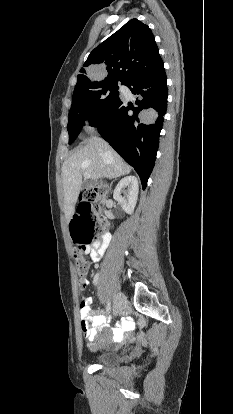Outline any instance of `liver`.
<instances>
[{"mask_svg":"<svg viewBox=\"0 0 233 414\" xmlns=\"http://www.w3.org/2000/svg\"><path fill=\"white\" fill-rule=\"evenodd\" d=\"M62 166L64 213L70 221L82 186V179L117 178L129 174L131 167L102 138L91 136Z\"/></svg>","mask_w":233,"mask_h":414,"instance_id":"6515ba94","label":"liver"}]
</instances>
